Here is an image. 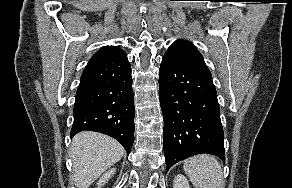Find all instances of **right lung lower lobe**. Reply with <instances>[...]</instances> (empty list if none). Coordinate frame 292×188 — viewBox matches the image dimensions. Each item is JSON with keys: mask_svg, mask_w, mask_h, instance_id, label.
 I'll list each match as a JSON object with an SVG mask.
<instances>
[{"mask_svg": "<svg viewBox=\"0 0 292 188\" xmlns=\"http://www.w3.org/2000/svg\"><path fill=\"white\" fill-rule=\"evenodd\" d=\"M131 85L126 53L90 59L76 93L71 137L83 130L101 132L118 140L129 155L135 128Z\"/></svg>", "mask_w": 292, "mask_h": 188, "instance_id": "obj_1", "label": "right lung lower lobe"}]
</instances>
